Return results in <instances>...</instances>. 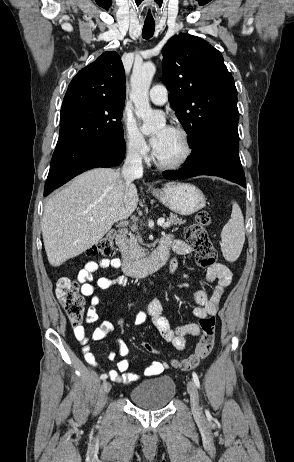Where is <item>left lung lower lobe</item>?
Segmentation results:
<instances>
[{
    "label": "left lung lower lobe",
    "instance_id": "left-lung-lower-lobe-1",
    "mask_svg": "<svg viewBox=\"0 0 294 462\" xmlns=\"http://www.w3.org/2000/svg\"><path fill=\"white\" fill-rule=\"evenodd\" d=\"M239 114H233L212 126L193 146L183 168L163 172L164 178H188L198 175L218 176L246 187L245 175L238 155L237 124Z\"/></svg>",
    "mask_w": 294,
    "mask_h": 462
}]
</instances>
